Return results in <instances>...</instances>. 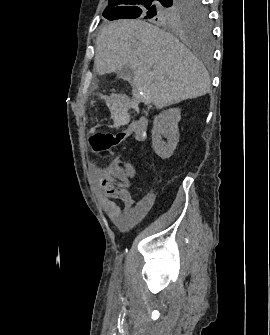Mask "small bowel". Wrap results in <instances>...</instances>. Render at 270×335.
Here are the masks:
<instances>
[{
	"instance_id": "1",
	"label": "small bowel",
	"mask_w": 270,
	"mask_h": 335,
	"mask_svg": "<svg viewBox=\"0 0 270 335\" xmlns=\"http://www.w3.org/2000/svg\"><path fill=\"white\" fill-rule=\"evenodd\" d=\"M139 139L146 137V122L138 120L134 124ZM126 165V166H119ZM95 169H102L98 175L100 187L99 201L109 219L119 228L126 229L140 218V211L130 193L127 179L133 178L131 169H142V162H132L131 158H98Z\"/></svg>"
}]
</instances>
